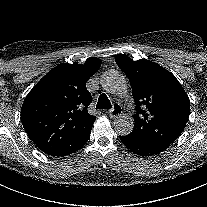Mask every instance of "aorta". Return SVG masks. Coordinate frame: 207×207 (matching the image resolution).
<instances>
[{
    "label": "aorta",
    "instance_id": "1",
    "mask_svg": "<svg viewBox=\"0 0 207 207\" xmlns=\"http://www.w3.org/2000/svg\"><path fill=\"white\" fill-rule=\"evenodd\" d=\"M100 83L106 92L114 95L125 96L128 92V86L125 77L123 74L113 69L105 71L102 74ZM113 126L118 134L125 136L132 132L134 128V122L130 116L120 114L115 118Z\"/></svg>",
    "mask_w": 207,
    "mask_h": 207
}]
</instances>
